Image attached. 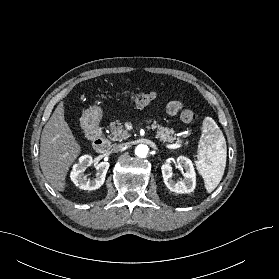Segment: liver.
I'll list each match as a JSON object with an SVG mask.
<instances>
[{"instance_id": "6515ba94", "label": "liver", "mask_w": 279, "mask_h": 279, "mask_svg": "<svg viewBox=\"0 0 279 279\" xmlns=\"http://www.w3.org/2000/svg\"><path fill=\"white\" fill-rule=\"evenodd\" d=\"M81 153L64 117V103L60 102L42 130L40 167L53 188L64 191L69 167Z\"/></svg>"}]
</instances>
